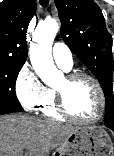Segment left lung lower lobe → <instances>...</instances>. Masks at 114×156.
<instances>
[{
	"instance_id": "left-lung-lower-lobe-1",
	"label": "left lung lower lobe",
	"mask_w": 114,
	"mask_h": 156,
	"mask_svg": "<svg viewBox=\"0 0 114 156\" xmlns=\"http://www.w3.org/2000/svg\"><path fill=\"white\" fill-rule=\"evenodd\" d=\"M111 130H113L114 131V127L112 126V127H109Z\"/></svg>"
}]
</instances>
